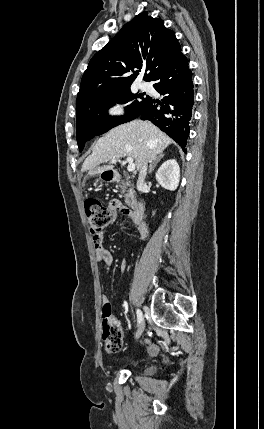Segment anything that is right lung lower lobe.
I'll list each match as a JSON object with an SVG mask.
<instances>
[{"label":"right lung lower lobe","instance_id":"98d812e1","mask_svg":"<svg viewBox=\"0 0 264 429\" xmlns=\"http://www.w3.org/2000/svg\"><path fill=\"white\" fill-rule=\"evenodd\" d=\"M151 80L156 82L154 88L164 98L158 101L150 97L137 117L150 120L185 151L194 104L188 59L180 51Z\"/></svg>","mask_w":264,"mask_h":429}]
</instances>
